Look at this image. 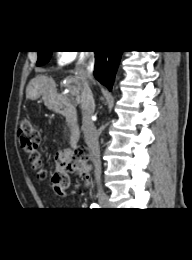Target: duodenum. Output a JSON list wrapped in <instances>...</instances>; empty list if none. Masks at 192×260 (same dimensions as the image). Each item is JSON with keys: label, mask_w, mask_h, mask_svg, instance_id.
<instances>
[{"label": "duodenum", "mask_w": 192, "mask_h": 260, "mask_svg": "<svg viewBox=\"0 0 192 260\" xmlns=\"http://www.w3.org/2000/svg\"><path fill=\"white\" fill-rule=\"evenodd\" d=\"M55 111L63 116H65L71 126V137H70V144H71V148L77 149V142L79 140V127L76 123V116H75V112L74 110L67 105L64 101H57L55 104Z\"/></svg>", "instance_id": "duodenum-1"}]
</instances>
